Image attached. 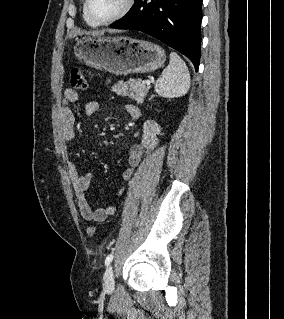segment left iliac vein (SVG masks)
Wrapping results in <instances>:
<instances>
[{
	"mask_svg": "<svg viewBox=\"0 0 284 319\" xmlns=\"http://www.w3.org/2000/svg\"><path fill=\"white\" fill-rule=\"evenodd\" d=\"M114 286H115V283H114L113 268L111 265H109L106 268L104 276H103V288L105 291L111 292L113 291Z\"/></svg>",
	"mask_w": 284,
	"mask_h": 319,
	"instance_id": "4c4485c4",
	"label": "left iliac vein"
}]
</instances>
